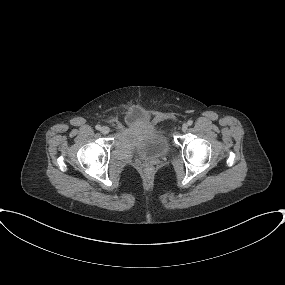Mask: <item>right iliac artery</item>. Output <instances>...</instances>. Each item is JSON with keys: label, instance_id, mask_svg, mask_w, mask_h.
I'll return each instance as SVG.
<instances>
[{"label": "right iliac artery", "instance_id": "1", "mask_svg": "<svg viewBox=\"0 0 285 285\" xmlns=\"http://www.w3.org/2000/svg\"><path fill=\"white\" fill-rule=\"evenodd\" d=\"M95 128H96L97 130H100V129H101V126H100V125H96Z\"/></svg>", "mask_w": 285, "mask_h": 285}]
</instances>
